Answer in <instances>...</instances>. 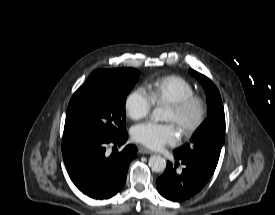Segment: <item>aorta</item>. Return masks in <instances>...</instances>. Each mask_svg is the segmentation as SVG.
Here are the masks:
<instances>
[{"label": "aorta", "mask_w": 275, "mask_h": 215, "mask_svg": "<svg viewBox=\"0 0 275 215\" xmlns=\"http://www.w3.org/2000/svg\"><path fill=\"white\" fill-rule=\"evenodd\" d=\"M154 121H163L166 119L165 110L162 107H156L152 112ZM149 166L152 171L163 172L166 168V160L159 155H153L149 158Z\"/></svg>", "instance_id": "1"}]
</instances>
